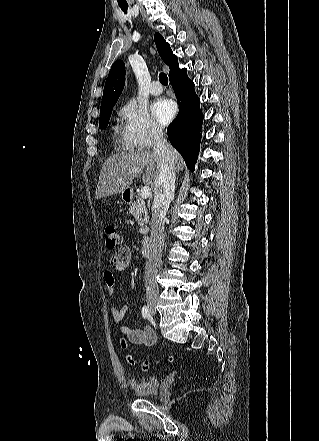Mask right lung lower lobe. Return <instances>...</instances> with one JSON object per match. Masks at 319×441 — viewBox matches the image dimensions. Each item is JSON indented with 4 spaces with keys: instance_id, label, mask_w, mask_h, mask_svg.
I'll use <instances>...</instances> for the list:
<instances>
[{
    "instance_id": "1",
    "label": "right lung lower lobe",
    "mask_w": 319,
    "mask_h": 441,
    "mask_svg": "<svg viewBox=\"0 0 319 441\" xmlns=\"http://www.w3.org/2000/svg\"><path fill=\"white\" fill-rule=\"evenodd\" d=\"M169 79L177 97L179 112L167 128L168 137L184 158L187 167L194 171L204 118L200 110V99L194 91V83L188 78L186 69L173 72Z\"/></svg>"
}]
</instances>
